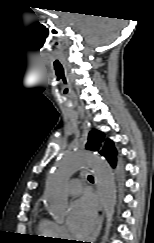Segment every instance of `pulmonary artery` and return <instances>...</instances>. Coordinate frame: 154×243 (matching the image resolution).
Here are the masks:
<instances>
[{
    "label": "pulmonary artery",
    "mask_w": 154,
    "mask_h": 243,
    "mask_svg": "<svg viewBox=\"0 0 154 243\" xmlns=\"http://www.w3.org/2000/svg\"><path fill=\"white\" fill-rule=\"evenodd\" d=\"M82 186L78 179H72L66 185V190L70 195H77L81 192Z\"/></svg>",
    "instance_id": "obj_1"
}]
</instances>
